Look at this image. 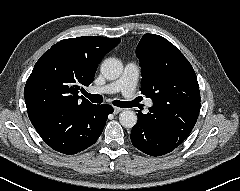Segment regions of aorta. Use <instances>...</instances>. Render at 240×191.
I'll return each mask as SVG.
<instances>
[{
	"label": "aorta",
	"instance_id": "762f6f07",
	"mask_svg": "<svg viewBox=\"0 0 240 191\" xmlns=\"http://www.w3.org/2000/svg\"><path fill=\"white\" fill-rule=\"evenodd\" d=\"M123 72L121 61L116 58H107L101 65V73L108 80L118 79ZM120 124L125 128H132L137 123V115L134 111L124 110L119 115Z\"/></svg>",
	"mask_w": 240,
	"mask_h": 191
}]
</instances>
